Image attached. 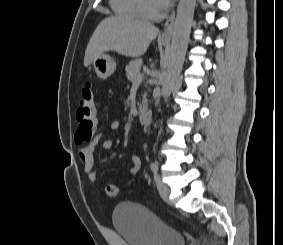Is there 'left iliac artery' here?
I'll return each mask as SVG.
<instances>
[{
  "mask_svg": "<svg viewBox=\"0 0 283 245\" xmlns=\"http://www.w3.org/2000/svg\"><path fill=\"white\" fill-rule=\"evenodd\" d=\"M150 168H151V170H152V172L154 174H157V172H158V164H157V162H151Z\"/></svg>",
  "mask_w": 283,
  "mask_h": 245,
  "instance_id": "1",
  "label": "left iliac artery"
}]
</instances>
